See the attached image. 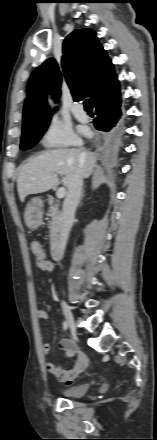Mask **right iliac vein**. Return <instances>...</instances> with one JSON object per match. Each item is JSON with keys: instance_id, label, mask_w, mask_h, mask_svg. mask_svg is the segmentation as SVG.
Here are the masks:
<instances>
[{"instance_id": "right-iliac-vein-1", "label": "right iliac vein", "mask_w": 157, "mask_h": 440, "mask_svg": "<svg viewBox=\"0 0 157 440\" xmlns=\"http://www.w3.org/2000/svg\"><path fill=\"white\" fill-rule=\"evenodd\" d=\"M62 310H63V314L65 316V319H66V322H67L69 328L74 333H76L77 329H76V325H75V321H74L72 312H71L69 306L65 302H62Z\"/></svg>"}]
</instances>
